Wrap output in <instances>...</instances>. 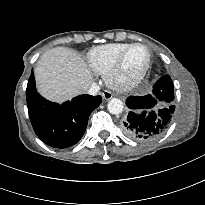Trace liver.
I'll use <instances>...</instances> for the list:
<instances>
[{
	"label": "liver",
	"mask_w": 205,
	"mask_h": 205,
	"mask_svg": "<svg viewBox=\"0 0 205 205\" xmlns=\"http://www.w3.org/2000/svg\"><path fill=\"white\" fill-rule=\"evenodd\" d=\"M35 78L41 95L58 103L84 93L92 82L84 59L66 47L46 51L37 62Z\"/></svg>",
	"instance_id": "obj_1"
}]
</instances>
